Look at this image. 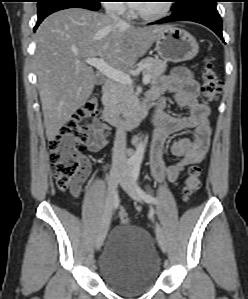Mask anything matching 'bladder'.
<instances>
[{
    "label": "bladder",
    "instance_id": "obj_1",
    "mask_svg": "<svg viewBox=\"0 0 248 299\" xmlns=\"http://www.w3.org/2000/svg\"><path fill=\"white\" fill-rule=\"evenodd\" d=\"M101 279L124 295L149 290L161 273V262L150 234L135 225L112 229L99 262Z\"/></svg>",
    "mask_w": 248,
    "mask_h": 299
}]
</instances>
